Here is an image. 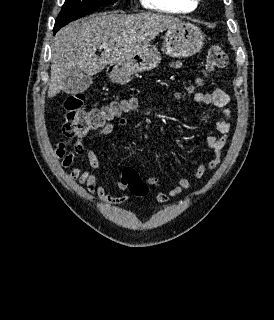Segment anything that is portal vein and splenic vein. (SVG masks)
I'll use <instances>...</instances> for the list:
<instances>
[{"label":"portal vein and splenic vein","instance_id":"obj_1","mask_svg":"<svg viewBox=\"0 0 274 320\" xmlns=\"http://www.w3.org/2000/svg\"><path fill=\"white\" fill-rule=\"evenodd\" d=\"M100 48H105V46H100Z\"/></svg>","mask_w":274,"mask_h":320}]
</instances>
